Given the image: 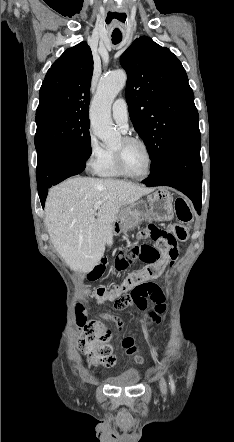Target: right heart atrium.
I'll return each mask as SVG.
<instances>
[{
	"instance_id": "d8ad5b80",
	"label": "right heart atrium",
	"mask_w": 234,
	"mask_h": 442,
	"mask_svg": "<svg viewBox=\"0 0 234 442\" xmlns=\"http://www.w3.org/2000/svg\"><path fill=\"white\" fill-rule=\"evenodd\" d=\"M106 155V149L92 130L87 135L86 167L90 172L97 173Z\"/></svg>"
}]
</instances>
